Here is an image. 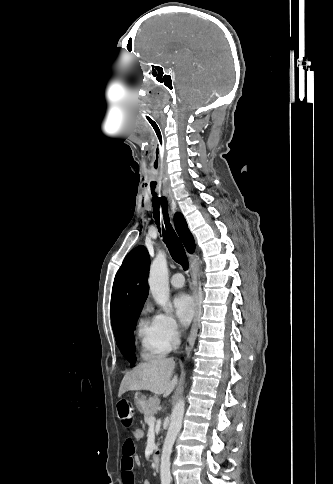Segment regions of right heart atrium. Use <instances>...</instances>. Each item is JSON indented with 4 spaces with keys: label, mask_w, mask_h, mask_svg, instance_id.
I'll use <instances>...</instances> for the list:
<instances>
[{
    "label": "right heart atrium",
    "mask_w": 333,
    "mask_h": 484,
    "mask_svg": "<svg viewBox=\"0 0 333 484\" xmlns=\"http://www.w3.org/2000/svg\"><path fill=\"white\" fill-rule=\"evenodd\" d=\"M153 320L155 322L158 336L162 347L165 350L173 349L180 340V327L175 318L167 313H157Z\"/></svg>",
    "instance_id": "obj_1"
}]
</instances>
